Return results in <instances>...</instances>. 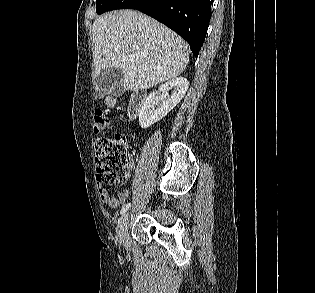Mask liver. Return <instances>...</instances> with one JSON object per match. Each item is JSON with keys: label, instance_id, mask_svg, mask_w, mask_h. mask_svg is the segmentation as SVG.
Segmentation results:
<instances>
[{"label": "liver", "instance_id": "obj_1", "mask_svg": "<svg viewBox=\"0 0 315 293\" xmlns=\"http://www.w3.org/2000/svg\"><path fill=\"white\" fill-rule=\"evenodd\" d=\"M94 67L123 71V87L138 92L179 76L189 61L187 44L158 21L133 10L98 17L92 27ZM134 58V62L130 59ZM102 96L109 92L95 82Z\"/></svg>", "mask_w": 315, "mask_h": 293}]
</instances>
